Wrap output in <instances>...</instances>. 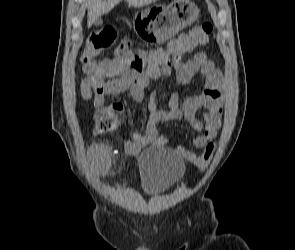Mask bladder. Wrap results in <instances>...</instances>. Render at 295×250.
I'll return each instance as SVG.
<instances>
[{"label":"bladder","instance_id":"obj_1","mask_svg":"<svg viewBox=\"0 0 295 250\" xmlns=\"http://www.w3.org/2000/svg\"><path fill=\"white\" fill-rule=\"evenodd\" d=\"M145 192L158 196L172 188L184 175L185 163L177 153L161 148L145 150L139 156Z\"/></svg>","mask_w":295,"mask_h":250}]
</instances>
